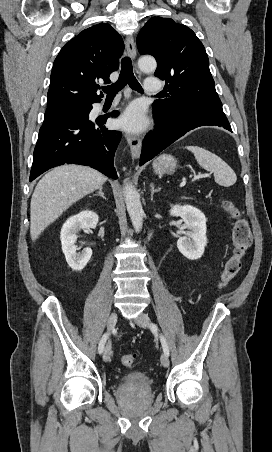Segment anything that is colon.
Masks as SVG:
<instances>
[{
    "instance_id": "obj_1",
    "label": "colon",
    "mask_w": 272,
    "mask_h": 452,
    "mask_svg": "<svg viewBox=\"0 0 272 452\" xmlns=\"http://www.w3.org/2000/svg\"><path fill=\"white\" fill-rule=\"evenodd\" d=\"M222 204L225 211L234 220V225L232 230L233 250L225 263L218 285L219 289L228 286L237 276L242 267V261L251 245V233L246 218L229 200H223ZM120 361L125 367L131 368L135 365L136 356L134 354H124L121 356Z\"/></svg>"
}]
</instances>
